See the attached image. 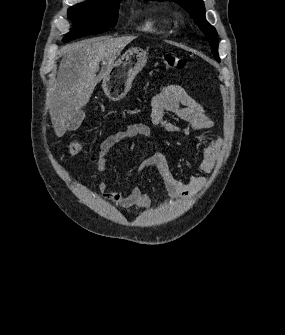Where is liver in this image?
I'll return each mask as SVG.
<instances>
[{"instance_id":"obj_1","label":"liver","mask_w":285,"mask_h":335,"mask_svg":"<svg viewBox=\"0 0 285 335\" xmlns=\"http://www.w3.org/2000/svg\"><path fill=\"white\" fill-rule=\"evenodd\" d=\"M135 38L137 36L111 38V40L91 38L61 48L63 60L52 88L49 106L57 138L64 136L74 114L88 104L95 86L100 82V78H96L100 62L104 76L114 66L120 52Z\"/></svg>"}]
</instances>
